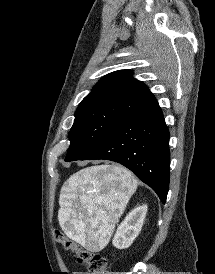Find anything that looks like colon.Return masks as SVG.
<instances>
[{"label": "colon", "mask_w": 215, "mask_h": 274, "mask_svg": "<svg viewBox=\"0 0 215 274\" xmlns=\"http://www.w3.org/2000/svg\"><path fill=\"white\" fill-rule=\"evenodd\" d=\"M56 238L66 249H70L76 254L78 263L85 265L89 274H110L106 257L84 249L59 231H56Z\"/></svg>", "instance_id": "1"}]
</instances>
